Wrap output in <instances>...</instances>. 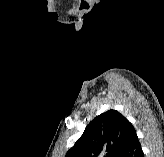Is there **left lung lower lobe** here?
<instances>
[{"mask_svg": "<svg viewBox=\"0 0 164 157\" xmlns=\"http://www.w3.org/2000/svg\"><path fill=\"white\" fill-rule=\"evenodd\" d=\"M119 157H144L137 135H133Z\"/></svg>", "mask_w": 164, "mask_h": 157, "instance_id": "left-lung-lower-lobe-1", "label": "left lung lower lobe"}]
</instances>
